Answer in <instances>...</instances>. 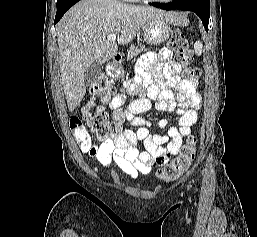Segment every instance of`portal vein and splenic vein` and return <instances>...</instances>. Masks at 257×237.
I'll return each instance as SVG.
<instances>
[{"instance_id":"1","label":"portal vein and splenic vein","mask_w":257,"mask_h":237,"mask_svg":"<svg viewBox=\"0 0 257 237\" xmlns=\"http://www.w3.org/2000/svg\"><path fill=\"white\" fill-rule=\"evenodd\" d=\"M108 41H115L116 40V35L115 34H110L108 37H107Z\"/></svg>"}]
</instances>
